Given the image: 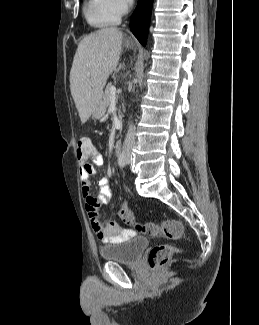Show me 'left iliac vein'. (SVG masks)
Listing matches in <instances>:
<instances>
[{
  "mask_svg": "<svg viewBox=\"0 0 259 325\" xmlns=\"http://www.w3.org/2000/svg\"><path fill=\"white\" fill-rule=\"evenodd\" d=\"M130 161H131V158H130V156L128 155V156H127V163H130Z\"/></svg>",
  "mask_w": 259,
  "mask_h": 325,
  "instance_id": "4c4485c4",
  "label": "left iliac vein"
}]
</instances>
